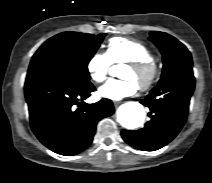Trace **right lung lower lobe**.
I'll return each mask as SVG.
<instances>
[{"mask_svg":"<svg viewBox=\"0 0 212 183\" xmlns=\"http://www.w3.org/2000/svg\"><path fill=\"white\" fill-rule=\"evenodd\" d=\"M93 91L89 81L26 80L30 124L37 138L50 150L65 156L89 147L97 122L114 113L109 99L94 104L83 101Z\"/></svg>","mask_w":212,"mask_h":183,"instance_id":"98d812e1","label":"right lung lower lobe"}]
</instances>
